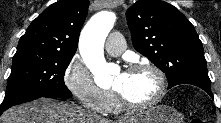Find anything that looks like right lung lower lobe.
I'll return each mask as SVG.
<instances>
[{
    "mask_svg": "<svg viewBox=\"0 0 221 123\" xmlns=\"http://www.w3.org/2000/svg\"><path fill=\"white\" fill-rule=\"evenodd\" d=\"M44 97H47V98H61L59 97L58 95L56 94H48V95H45ZM6 109H1L0 110V115L3 113V111H5Z\"/></svg>",
    "mask_w": 221,
    "mask_h": 123,
    "instance_id": "98d812e1",
    "label": "right lung lower lobe"
}]
</instances>
